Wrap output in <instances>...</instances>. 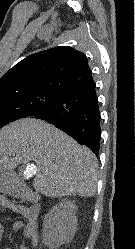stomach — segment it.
I'll use <instances>...</instances> for the list:
<instances>
[{
	"label": "stomach",
	"mask_w": 135,
	"mask_h": 249,
	"mask_svg": "<svg viewBox=\"0 0 135 249\" xmlns=\"http://www.w3.org/2000/svg\"><path fill=\"white\" fill-rule=\"evenodd\" d=\"M12 172L3 168H0V185L10 182L12 179Z\"/></svg>",
	"instance_id": "stomach-1"
}]
</instances>
